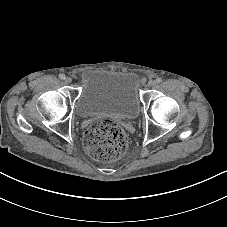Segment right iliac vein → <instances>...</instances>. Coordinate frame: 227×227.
<instances>
[{
	"label": "right iliac vein",
	"instance_id": "obj_1",
	"mask_svg": "<svg viewBox=\"0 0 227 227\" xmlns=\"http://www.w3.org/2000/svg\"><path fill=\"white\" fill-rule=\"evenodd\" d=\"M65 82L69 84L72 82V79L70 77H67V78H65Z\"/></svg>",
	"mask_w": 227,
	"mask_h": 227
}]
</instances>
